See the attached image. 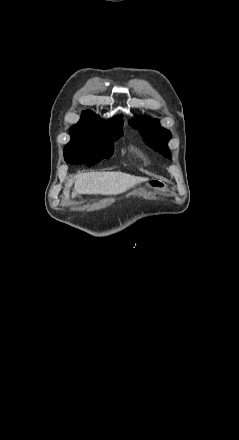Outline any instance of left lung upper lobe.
<instances>
[{
	"label": "left lung upper lobe",
	"mask_w": 239,
	"mask_h": 440,
	"mask_svg": "<svg viewBox=\"0 0 239 440\" xmlns=\"http://www.w3.org/2000/svg\"><path fill=\"white\" fill-rule=\"evenodd\" d=\"M134 129H138L143 139L155 151L163 154L165 157L171 158V153L167 143L172 137L171 132L162 128L159 122L154 119L138 118L130 121Z\"/></svg>",
	"instance_id": "1"
}]
</instances>
